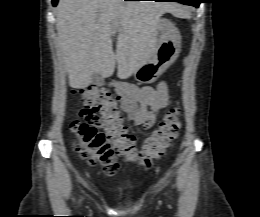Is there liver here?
<instances>
[{"label":"liver","instance_id":"obj_1","mask_svg":"<svg viewBox=\"0 0 260 217\" xmlns=\"http://www.w3.org/2000/svg\"><path fill=\"white\" fill-rule=\"evenodd\" d=\"M187 17L168 2L60 0L56 9L58 43L72 88H85L93 73L126 79L150 60L157 47V26L164 13ZM118 32L116 52L112 34Z\"/></svg>","mask_w":260,"mask_h":217}]
</instances>
